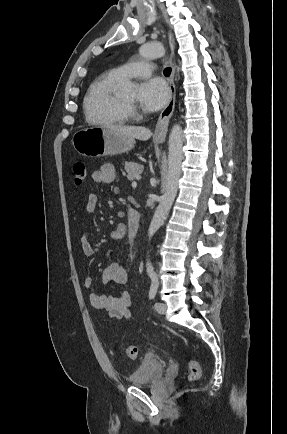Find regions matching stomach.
<instances>
[{"label":"stomach","mask_w":287,"mask_h":434,"mask_svg":"<svg viewBox=\"0 0 287 434\" xmlns=\"http://www.w3.org/2000/svg\"><path fill=\"white\" fill-rule=\"evenodd\" d=\"M157 142L162 143L163 139ZM72 145L83 156L102 157L130 151L135 145V140L107 127L91 126L76 131Z\"/></svg>","instance_id":"stomach-1"}]
</instances>
